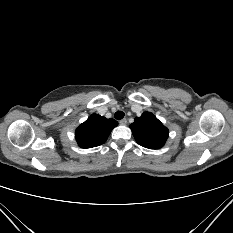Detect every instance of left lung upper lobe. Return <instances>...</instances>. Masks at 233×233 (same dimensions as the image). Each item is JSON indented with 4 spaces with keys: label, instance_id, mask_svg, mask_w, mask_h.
Here are the masks:
<instances>
[{
    "label": "left lung upper lobe",
    "instance_id": "obj_1",
    "mask_svg": "<svg viewBox=\"0 0 233 233\" xmlns=\"http://www.w3.org/2000/svg\"><path fill=\"white\" fill-rule=\"evenodd\" d=\"M130 128L137 143L149 149L163 147L169 135L168 129L150 112L136 117Z\"/></svg>",
    "mask_w": 233,
    "mask_h": 233
}]
</instances>
